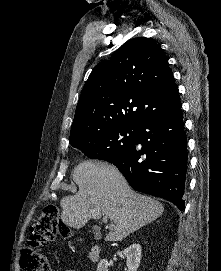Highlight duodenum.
Here are the masks:
<instances>
[{
    "instance_id": "obj_1",
    "label": "duodenum",
    "mask_w": 221,
    "mask_h": 271,
    "mask_svg": "<svg viewBox=\"0 0 221 271\" xmlns=\"http://www.w3.org/2000/svg\"><path fill=\"white\" fill-rule=\"evenodd\" d=\"M101 258V247L99 245H95L91 248L89 252V259L92 262H98Z\"/></svg>"
}]
</instances>
